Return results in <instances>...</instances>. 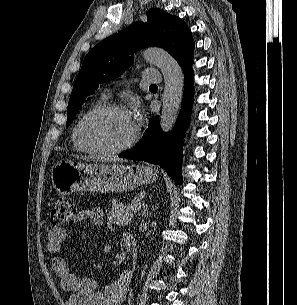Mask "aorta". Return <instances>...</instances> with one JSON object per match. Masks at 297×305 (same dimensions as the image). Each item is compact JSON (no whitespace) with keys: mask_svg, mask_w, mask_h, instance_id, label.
<instances>
[{"mask_svg":"<svg viewBox=\"0 0 297 305\" xmlns=\"http://www.w3.org/2000/svg\"><path fill=\"white\" fill-rule=\"evenodd\" d=\"M143 58L156 65L164 77V92L160 126L169 132L175 122L183 95L184 75L177 61L160 48H147L142 51Z\"/></svg>","mask_w":297,"mask_h":305,"instance_id":"1","label":"aorta"}]
</instances>
